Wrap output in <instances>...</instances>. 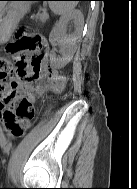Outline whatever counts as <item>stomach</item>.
Returning a JSON list of instances; mask_svg holds the SVG:
<instances>
[{"instance_id": "obj_1", "label": "stomach", "mask_w": 137, "mask_h": 189, "mask_svg": "<svg viewBox=\"0 0 137 189\" xmlns=\"http://www.w3.org/2000/svg\"><path fill=\"white\" fill-rule=\"evenodd\" d=\"M17 3L9 2L5 5L4 9L0 12V34L3 31H9L13 24L15 18L18 16V11L16 10Z\"/></svg>"}]
</instances>
